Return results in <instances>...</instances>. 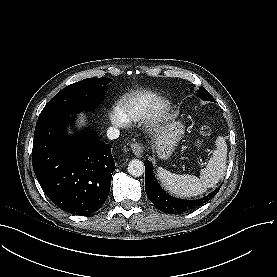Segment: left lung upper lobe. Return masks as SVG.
<instances>
[{
	"label": "left lung upper lobe",
	"mask_w": 277,
	"mask_h": 277,
	"mask_svg": "<svg viewBox=\"0 0 277 277\" xmlns=\"http://www.w3.org/2000/svg\"><path fill=\"white\" fill-rule=\"evenodd\" d=\"M196 95L203 100L215 102L211 94L204 87H201Z\"/></svg>",
	"instance_id": "1"
}]
</instances>
